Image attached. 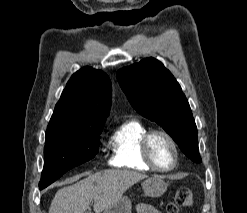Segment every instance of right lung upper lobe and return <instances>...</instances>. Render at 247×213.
<instances>
[{
    "instance_id": "cb5924a9",
    "label": "right lung upper lobe",
    "mask_w": 247,
    "mask_h": 213,
    "mask_svg": "<svg viewBox=\"0 0 247 213\" xmlns=\"http://www.w3.org/2000/svg\"><path fill=\"white\" fill-rule=\"evenodd\" d=\"M111 92L110 79L103 71L91 67L80 69L68 81L48 127L104 125L111 106Z\"/></svg>"
}]
</instances>
